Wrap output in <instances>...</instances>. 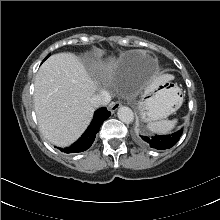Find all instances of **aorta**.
I'll use <instances>...</instances> for the list:
<instances>
[{"mask_svg": "<svg viewBox=\"0 0 220 220\" xmlns=\"http://www.w3.org/2000/svg\"><path fill=\"white\" fill-rule=\"evenodd\" d=\"M117 115L120 121L126 124H130L134 120V113L133 111L126 106H122L118 109Z\"/></svg>", "mask_w": 220, "mask_h": 220, "instance_id": "1", "label": "aorta"}]
</instances>
